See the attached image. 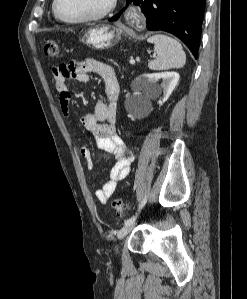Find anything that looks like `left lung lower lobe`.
I'll return each mask as SVG.
<instances>
[{
	"label": "left lung lower lobe",
	"instance_id": "0a47b994",
	"mask_svg": "<svg viewBox=\"0 0 247 299\" xmlns=\"http://www.w3.org/2000/svg\"><path fill=\"white\" fill-rule=\"evenodd\" d=\"M206 0H132L141 5L150 31H166L178 37L197 59ZM125 9V8H124ZM109 21L117 20L122 12Z\"/></svg>",
	"mask_w": 247,
	"mask_h": 299
}]
</instances>
